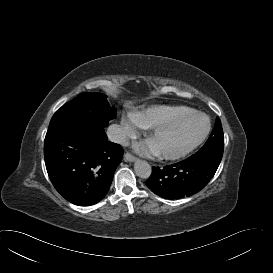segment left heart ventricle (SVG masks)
<instances>
[{"instance_id": "1", "label": "left heart ventricle", "mask_w": 273, "mask_h": 273, "mask_svg": "<svg viewBox=\"0 0 273 273\" xmlns=\"http://www.w3.org/2000/svg\"><path fill=\"white\" fill-rule=\"evenodd\" d=\"M206 120L192 117L181 124L154 135L152 144L156 150L178 152L194 143L204 132Z\"/></svg>"}]
</instances>
